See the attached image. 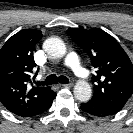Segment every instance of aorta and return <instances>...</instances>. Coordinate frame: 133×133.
I'll return each instance as SVG.
<instances>
[{
	"label": "aorta",
	"mask_w": 133,
	"mask_h": 133,
	"mask_svg": "<svg viewBox=\"0 0 133 133\" xmlns=\"http://www.w3.org/2000/svg\"><path fill=\"white\" fill-rule=\"evenodd\" d=\"M44 50L53 58H62L66 54L64 42L57 37H51L45 40ZM92 90L88 82L79 80L74 86V96L81 102H87L91 98Z\"/></svg>",
	"instance_id": "762f6f07"
}]
</instances>
